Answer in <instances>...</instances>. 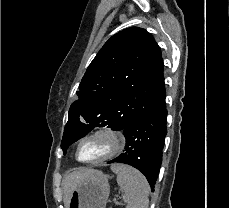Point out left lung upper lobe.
Here are the masks:
<instances>
[{
    "instance_id": "1",
    "label": "left lung upper lobe",
    "mask_w": 229,
    "mask_h": 208,
    "mask_svg": "<svg viewBox=\"0 0 229 208\" xmlns=\"http://www.w3.org/2000/svg\"><path fill=\"white\" fill-rule=\"evenodd\" d=\"M161 50L146 30L130 27L113 35L90 63L69 109L61 147L93 127L124 130L165 94Z\"/></svg>"
}]
</instances>
